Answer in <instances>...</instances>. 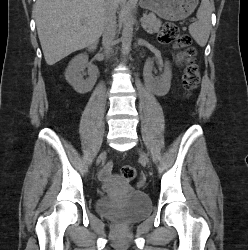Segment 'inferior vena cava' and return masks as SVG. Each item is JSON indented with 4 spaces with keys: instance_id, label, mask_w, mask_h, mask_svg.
Here are the masks:
<instances>
[{
    "instance_id": "1",
    "label": "inferior vena cava",
    "mask_w": 248,
    "mask_h": 250,
    "mask_svg": "<svg viewBox=\"0 0 248 250\" xmlns=\"http://www.w3.org/2000/svg\"><path fill=\"white\" fill-rule=\"evenodd\" d=\"M116 36V7L114 0H110L105 11L103 24L102 44L105 54L108 56L112 52V46Z\"/></svg>"
}]
</instances>
